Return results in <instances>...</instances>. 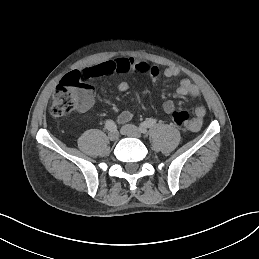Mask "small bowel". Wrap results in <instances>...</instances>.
<instances>
[{
    "label": "small bowel",
    "mask_w": 259,
    "mask_h": 259,
    "mask_svg": "<svg viewBox=\"0 0 259 259\" xmlns=\"http://www.w3.org/2000/svg\"><path fill=\"white\" fill-rule=\"evenodd\" d=\"M129 71H135L140 73H146L149 75L152 81H156L160 76V70L155 65H150L148 61L141 58H114L102 61L100 63L91 64L86 66L81 71H77L81 78L92 79L95 77L107 75L110 73H126ZM163 75L167 78L176 77L180 74V71L176 67H167L163 70ZM129 83L122 81L118 85V90L125 92L129 89ZM177 93L181 96H196L199 93V89L188 79H182L176 89ZM163 109L166 113L170 114L175 109L173 101L167 100L163 103ZM206 115V109L204 106L196 107L194 111V117L189 121L187 129L196 132L202 127L204 117ZM133 114L130 111H123L118 116L119 123H126L132 119Z\"/></svg>",
    "instance_id": "obj_1"
}]
</instances>
